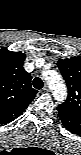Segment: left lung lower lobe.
Listing matches in <instances>:
<instances>
[{
  "label": "left lung lower lobe",
  "instance_id": "left-lung-lower-lobe-1",
  "mask_svg": "<svg viewBox=\"0 0 81 155\" xmlns=\"http://www.w3.org/2000/svg\"><path fill=\"white\" fill-rule=\"evenodd\" d=\"M59 117L71 133L78 134L81 132V120L68 116L66 113L58 111Z\"/></svg>",
  "mask_w": 81,
  "mask_h": 155
}]
</instances>
